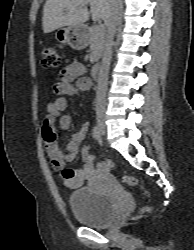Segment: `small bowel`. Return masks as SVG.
Instances as JSON below:
<instances>
[{
	"instance_id": "small-bowel-1",
	"label": "small bowel",
	"mask_w": 194,
	"mask_h": 250,
	"mask_svg": "<svg viewBox=\"0 0 194 250\" xmlns=\"http://www.w3.org/2000/svg\"><path fill=\"white\" fill-rule=\"evenodd\" d=\"M84 73V65L78 62L72 63L64 69L61 82L54 86L59 96L53 102L48 103V114L42 127L45 148L51 163L59 171L62 181L70 188L81 186L95 172L92 164H85L81 169L64 168L66 163L75 160L79 147L88 131V124L81 125L63 147L57 142L55 127L56 120L59 121L62 130H67L72 125L71 117L63 114V112L68 106L67 97L75 96L91 87V81L84 76ZM104 169H106V166Z\"/></svg>"
}]
</instances>
